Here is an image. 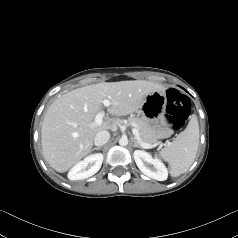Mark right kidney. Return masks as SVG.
<instances>
[{
  "label": "right kidney",
  "instance_id": "ca27d5eb",
  "mask_svg": "<svg viewBox=\"0 0 238 238\" xmlns=\"http://www.w3.org/2000/svg\"><path fill=\"white\" fill-rule=\"evenodd\" d=\"M103 162V154L96 153L85 157L82 161L75 164L68 173L70 180L86 179L99 171ZM88 166L89 169H86Z\"/></svg>",
  "mask_w": 238,
  "mask_h": 238
}]
</instances>
